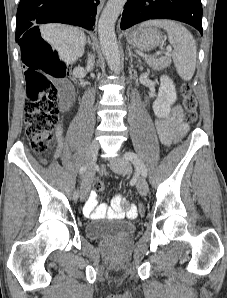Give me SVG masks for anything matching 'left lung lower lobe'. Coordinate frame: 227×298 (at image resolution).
Masks as SVG:
<instances>
[{
    "mask_svg": "<svg viewBox=\"0 0 227 298\" xmlns=\"http://www.w3.org/2000/svg\"><path fill=\"white\" fill-rule=\"evenodd\" d=\"M150 19H172L195 27L202 35L201 0H128L121 29Z\"/></svg>",
    "mask_w": 227,
    "mask_h": 298,
    "instance_id": "1",
    "label": "left lung lower lobe"
}]
</instances>
